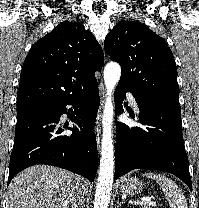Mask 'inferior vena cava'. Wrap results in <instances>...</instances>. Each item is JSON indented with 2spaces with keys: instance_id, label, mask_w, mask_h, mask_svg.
I'll return each instance as SVG.
<instances>
[{
  "instance_id": "inferior-vena-cava-1",
  "label": "inferior vena cava",
  "mask_w": 199,
  "mask_h": 208,
  "mask_svg": "<svg viewBox=\"0 0 199 208\" xmlns=\"http://www.w3.org/2000/svg\"><path fill=\"white\" fill-rule=\"evenodd\" d=\"M83 201V192L81 189H78V191L75 193L71 200L72 208H78V205H82Z\"/></svg>"
}]
</instances>
